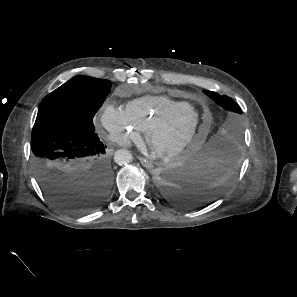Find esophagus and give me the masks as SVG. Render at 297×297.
I'll return each mask as SVG.
<instances>
[{
  "mask_svg": "<svg viewBox=\"0 0 297 297\" xmlns=\"http://www.w3.org/2000/svg\"><path fill=\"white\" fill-rule=\"evenodd\" d=\"M139 160H140V162L142 163V165H143L145 168H147V169H149V170H150V169H153L154 165H153V163H152L150 160L145 159V158H143V157H140Z\"/></svg>",
  "mask_w": 297,
  "mask_h": 297,
  "instance_id": "34e87169",
  "label": "esophagus"
}]
</instances>
